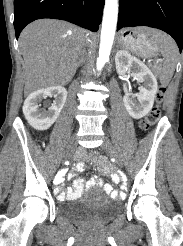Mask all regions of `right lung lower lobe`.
Masks as SVG:
<instances>
[{
  "mask_svg": "<svg viewBox=\"0 0 183 246\" xmlns=\"http://www.w3.org/2000/svg\"><path fill=\"white\" fill-rule=\"evenodd\" d=\"M105 0H14V27L18 39L30 22L52 18L61 19L93 32L101 23Z\"/></svg>",
  "mask_w": 183,
  "mask_h": 246,
  "instance_id": "98d812e1",
  "label": "right lung lower lobe"
}]
</instances>
